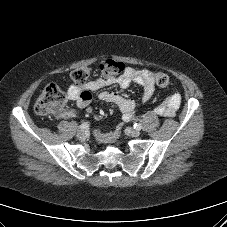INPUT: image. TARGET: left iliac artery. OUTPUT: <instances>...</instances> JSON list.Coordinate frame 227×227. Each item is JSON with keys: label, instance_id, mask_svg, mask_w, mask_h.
<instances>
[{"label": "left iliac artery", "instance_id": "left-iliac-artery-1", "mask_svg": "<svg viewBox=\"0 0 227 227\" xmlns=\"http://www.w3.org/2000/svg\"><path fill=\"white\" fill-rule=\"evenodd\" d=\"M134 128L137 129V130H140L142 128V126L139 123H135Z\"/></svg>", "mask_w": 227, "mask_h": 227}]
</instances>
